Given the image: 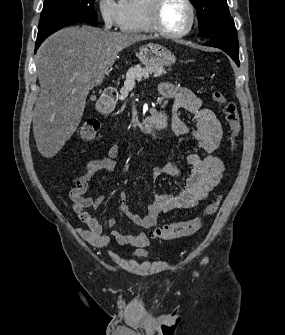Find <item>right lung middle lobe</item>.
Listing matches in <instances>:
<instances>
[{
	"instance_id": "1",
	"label": "right lung middle lobe",
	"mask_w": 285,
	"mask_h": 335,
	"mask_svg": "<svg viewBox=\"0 0 285 335\" xmlns=\"http://www.w3.org/2000/svg\"><path fill=\"white\" fill-rule=\"evenodd\" d=\"M95 0H44L39 21L38 34L68 21L95 23L97 14Z\"/></svg>"
}]
</instances>
